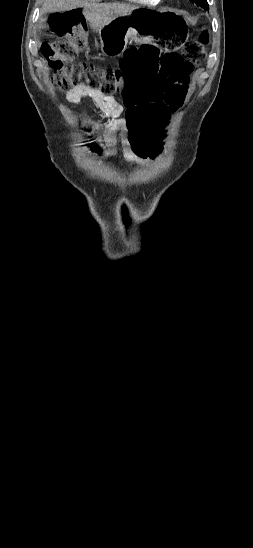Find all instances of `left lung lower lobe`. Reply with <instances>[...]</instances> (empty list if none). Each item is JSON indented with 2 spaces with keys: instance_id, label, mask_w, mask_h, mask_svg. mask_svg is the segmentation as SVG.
Returning <instances> with one entry per match:
<instances>
[{
  "instance_id": "obj_1",
  "label": "left lung lower lobe",
  "mask_w": 253,
  "mask_h": 548,
  "mask_svg": "<svg viewBox=\"0 0 253 548\" xmlns=\"http://www.w3.org/2000/svg\"><path fill=\"white\" fill-rule=\"evenodd\" d=\"M196 4H197L198 6H201V7L204 8L205 10H208V9H209L208 3H203V4H201V3H196Z\"/></svg>"
}]
</instances>
